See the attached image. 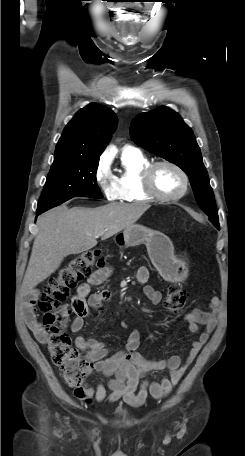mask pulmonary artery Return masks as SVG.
I'll return each instance as SVG.
<instances>
[{
    "label": "pulmonary artery",
    "instance_id": "obj_1",
    "mask_svg": "<svg viewBox=\"0 0 245 456\" xmlns=\"http://www.w3.org/2000/svg\"><path fill=\"white\" fill-rule=\"evenodd\" d=\"M124 150H137L135 147L132 146H125Z\"/></svg>",
    "mask_w": 245,
    "mask_h": 456
}]
</instances>
